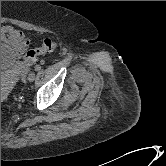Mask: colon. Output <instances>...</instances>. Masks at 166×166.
Returning a JSON list of instances; mask_svg holds the SVG:
<instances>
[{
    "label": "colon",
    "mask_w": 166,
    "mask_h": 166,
    "mask_svg": "<svg viewBox=\"0 0 166 166\" xmlns=\"http://www.w3.org/2000/svg\"><path fill=\"white\" fill-rule=\"evenodd\" d=\"M56 48L57 43L53 39L46 38L39 47L31 49L26 53L24 62L27 65L36 60L39 56L54 52Z\"/></svg>",
    "instance_id": "obj_1"
}]
</instances>
